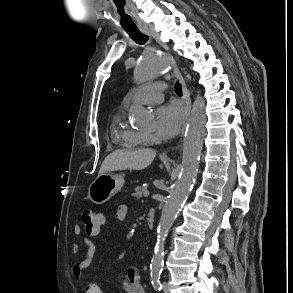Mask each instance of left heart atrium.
<instances>
[{"label": "left heart atrium", "mask_w": 293, "mask_h": 293, "mask_svg": "<svg viewBox=\"0 0 293 293\" xmlns=\"http://www.w3.org/2000/svg\"><path fill=\"white\" fill-rule=\"evenodd\" d=\"M185 109L178 102L160 106L156 111V132L160 137L171 138L177 134L184 119Z\"/></svg>", "instance_id": "39dd6f15"}]
</instances>
